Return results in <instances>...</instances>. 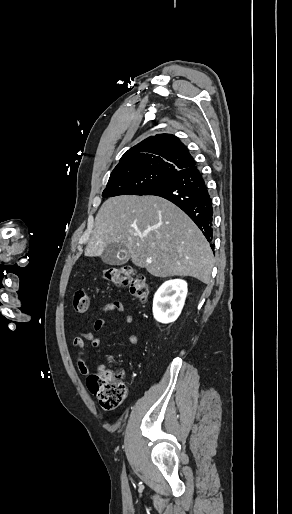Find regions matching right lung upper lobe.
Returning a JSON list of instances; mask_svg holds the SVG:
<instances>
[{"instance_id": "cb5924a9", "label": "right lung upper lobe", "mask_w": 292, "mask_h": 514, "mask_svg": "<svg viewBox=\"0 0 292 514\" xmlns=\"http://www.w3.org/2000/svg\"><path fill=\"white\" fill-rule=\"evenodd\" d=\"M193 166V157L176 136L157 134L126 151L110 176L143 172H166L172 175Z\"/></svg>"}]
</instances>
